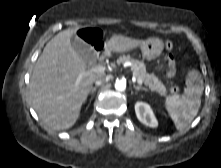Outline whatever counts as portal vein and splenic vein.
I'll return each instance as SVG.
<instances>
[{
    "label": "portal vein and splenic vein",
    "mask_w": 221,
    "mask_h": 168,
    "mask_svg": "<svg viewBox=\"0 0 221 168\" xmlns=\"http://www.w3.org/2000/svg\"><path fill=\"white\" fill-rule=\"evenodd\" d=\"M105 70H106V67H105V66H103V65H97V66L91 68V70H89V72L103 73V72H105ZM83 75H84V73H82V74L80 75V78H81ZM80 78L77 80V82L80 80ZM135 80L137 81V83H138L139 85H141V84L143 83V81H142L141 79H135Z\"/></svg>",
    "instance_id": "1"
}]
</instances>
